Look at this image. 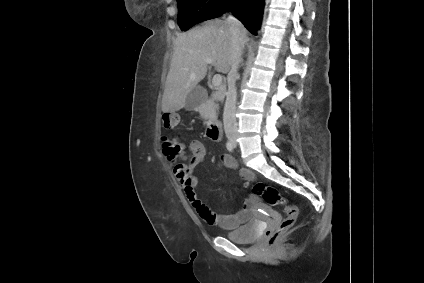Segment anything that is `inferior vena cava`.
Wrapping results in <instances>:
<instances>
[{
  "mask_svg": "<svg viewBox=\"0 0 424 283\" xmlns=\"http://www.w3.org/2000/svg\"><path fill=\"white\" fill-rule=\"evenodd\" d=\"M227 23L231 32L232 41V55H231V67L228 73V91L226 94V102L224 105L223 113V125L226 136H230L238 129V124L235 117L236 111V100H237V71L239 64L242 59L243 50L246 43V32L242 23L230 15L227 18Z\"/></svg>",
  "mask_w": 424,
  "mask_h": 283,
  "instance_id": "1",
  "label": "inferior vena cava"
}]
</instances>
